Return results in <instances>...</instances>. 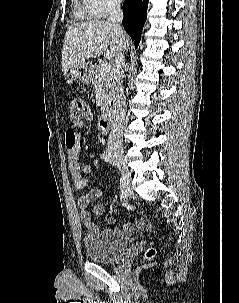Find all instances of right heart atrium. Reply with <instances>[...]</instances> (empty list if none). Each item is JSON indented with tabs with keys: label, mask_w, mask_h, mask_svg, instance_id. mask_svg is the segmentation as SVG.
I'll return each mask as SVG.
<instances>
[{
	"label": "right heart atrium",
	"mask_w": 239,
	"mask_h": 303,
	"mask_svg": "<svg viewBox=\"0 0 239 303\" xmlns=\"http://www.w3.org/2000/svg\"><path fill=\"white\" fill-rule=\"evenodd\" d=\"M123 0H82V4L89 16L96 18L106 17L122 6Z\"/></svg>",
	"instance_id": "1"
}]
</instances>
